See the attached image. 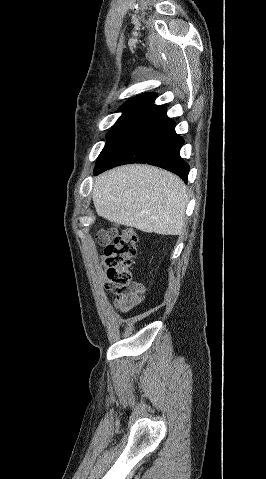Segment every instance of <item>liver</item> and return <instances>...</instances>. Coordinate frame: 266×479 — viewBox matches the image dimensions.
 <instances>
[{"mask_svg":"<svg viewBox=\"0 0 266 479\" xmlns=\"http://www.w3.org/2000/svg\"><path fill=\"white\" fill-rule=\"evenodd\" d=\"M92 197L98 215L146 233L181 235L188 203L176 175L149 165H126L95 178Z\"/></svg>","mask_w":266,"mask_h":479,"instance_id":"liver-1","label":"liver"}]
</instances>
